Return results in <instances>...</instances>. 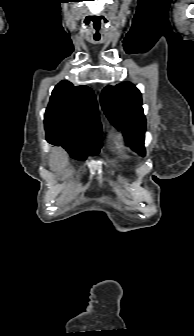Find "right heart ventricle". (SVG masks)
Wrapping results in <instances>:
<instances>
[{"instance_id":"1","label":"right heart ventricle","mask_w":194,"mask_h":336,"mask_svg":"<svg viewBox=\"0 0 194 336\" xmlns=\"http://www.w3.org/2000/svg\"><path fill=\"white\" fill-rule=\"evenodd\" d=\"M116 146L119 150H122V143H121V140L120 139H117L116 140Z\"/></svg>"}]
</instances>
